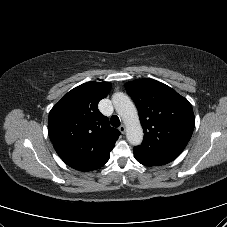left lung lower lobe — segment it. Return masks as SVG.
<instances>
[{"mask_svg": "<svg viewBox=\"0 0 227 227\" xmlns=\"http://www.w3.org/2000/svg\"><path fill=\"white\" fill-rule=\"evenodd\" d=\"M133 151L136 160L146 166H160L175 159L161 154H149L138 147H135Z\"/></svg>", "mask_w": 227, "mask_h": 227, "instance_id": "left-lung-lower-lobe-1", "label": "left lung lower lobe"}]
</instances>
